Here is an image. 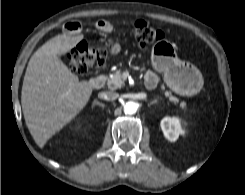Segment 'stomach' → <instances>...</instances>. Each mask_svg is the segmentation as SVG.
Listing matches in <instances>:
<instances>
[{
    "label": "stomach",
    "mask_w": 245,
    "mask_h": 195,
    "mask_svg": "<svg viewBox=\"0 0 245 195\" xmlns=\"http://www.w3.org/2000/svg\"><path fill=\"white\" fill-rule=\"evenodd\" d=\"M153 68L164 74L166 84L174 92L183 96L197 94L203 86L199 70L176 57L174 46L168 41H159L152 48Z\"/></svg>",
    "instance_id": "stomach-1"
}]
</instances>
